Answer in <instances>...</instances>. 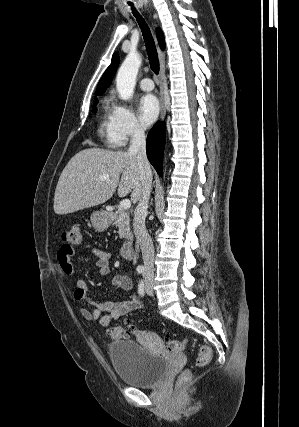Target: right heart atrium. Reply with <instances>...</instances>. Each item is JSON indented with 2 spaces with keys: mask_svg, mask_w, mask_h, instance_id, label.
I'll return each instance as SVG.
<instances>
[{
  "mask_svg": "<svg viewBox=\"0 0 299 427\" xmlns=\"http://www.w3.org/2000/svg\"><path fill=\"white\" fill-rule=\"evenodd\" d=\"M144 135V128L137 120L132 109L118 101L110 107L109 136L116 146H124L131 139Z\"/></svg>",
  "mask_w": 299,
  "mask_h": 427,
  "instance_id": "right-heart-atrium-1",
  "label": "right heart atrium"
}]
</instances>
